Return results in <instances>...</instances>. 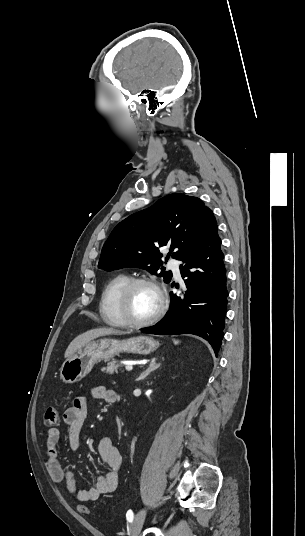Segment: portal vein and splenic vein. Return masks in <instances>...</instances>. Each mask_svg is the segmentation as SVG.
Here are the masks:
<instances>
[{"label": "portal vein and splenic vein", "mask_w": 305, "mask_h": 536, "mask_svg": "<svg viewBox=\"0 0 305 536\" xmlns=\"http://www.w3.org/2000/svg\"><path fill=\"white\" fill-rule=\"evenodd\" d=\"M125 368L126 370H133L132 364H126Z\"/></svg>", "instance_id": "1"}]
</instances>
